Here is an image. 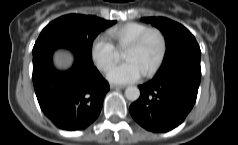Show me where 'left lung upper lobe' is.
Masks as SVG:
<instances>
[{
	"mask_svg": "<svg viewBox=\"0 0 238 145\" xmlns=\"http://www.w3.org/2000/svg\"><path fill=\"white\" fill-rule=\"evenodd\" d=\"M142 21L160 29L167 40L168 51L161 69L173 67L188 59H200V47L194 36L183 25L164 17H145Z\"/></svg>",
	"mask_w": 238,
	"mask_h": 145,
	"instance_id": "left-lung-upper-lobe-1",
	"label": "left lung upper lobe"
}]
</instances>
